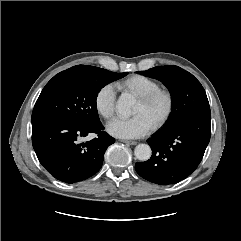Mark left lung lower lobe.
<instances>
[{
  "mask_svg": "<svg viewBox=\"0 0 241 241\" xmlns=\"http://www.w3.org/2000/svg\"><path fill=\"white\" fill-rule=\"evenodd\" d=\"M210 119L211 115L196 117L149 138L152 156L135 164L137 173L159 185L187 178L198 167L210 141Z\"/></svg>",
  "mask_w": 241,
  "mask_h": 241,
  "instance_id": "0a47b994",
  "label": "left lung lower lobe"
}]
</instances>
